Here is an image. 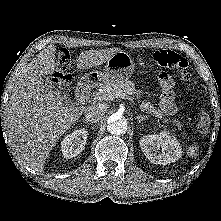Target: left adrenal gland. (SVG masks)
<instances>
[{
	"mask_svg": "<svg viewBox=\"0 0 221 221\" xmlns=\"http://www.w3.org/2000/svg\"><path fill=\"white\" fill-rule=\"evenodd\" d=\"M136 118H137L138 123H141L143 120L148 119V116L138 115Z\"/></svg>",
	"mask_w": 221,
	"mask_h": 221,
	"instance_id": "a2214340",
	"label": "left adrenal gland"
}]
</instances>
